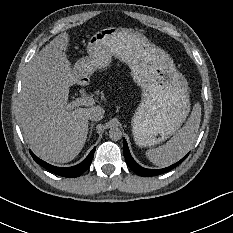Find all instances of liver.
<instances>
[{
    "label": "liver",
    "instance_id": "liver-1",
    "mask_svg": "<svg viewBox=\"0 0 233 233\" xmlns=\"http://www.w3.org/2000/svg\"><path fill=\"white\" fill-rule=\"evenodd\" d=\"M69 35L61 33L26 67L18 102V118L33 152L43 160L66 163L82 150L88 116L95 108H72L70 87L80 76L66 58ZM103 109V108H102Z\"/></svg>",
    "mask_w": 233,
    "mask_h": 233
}]
</instances>
